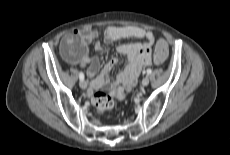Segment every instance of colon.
<instances>
[{
	"instance_id": "1",
	"label": "colon",
	"mask_w": 230,
	"mask_h": 155,
	"mask_svg": "<svg viewBox=\"0 0 230 155\" xmlns=\"http://www.w3.org/2000/svg\"><path fill=\"white\" fill-rule=\"evenodd\" d=\"M71 46L74 47L75 53H81V45L79 39H73L71 41ZM168 54V45L165 40L159 39L155 45V52H154V61L157 64L163 63ZM122 99V92L121 90H115L109 94L98 92L93 97V104L96 107V110L99 113L106 112L110 110L116 101Z\"/></svg>"
}]
</instances>
